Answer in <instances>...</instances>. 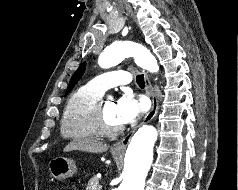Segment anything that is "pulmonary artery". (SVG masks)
<instances>
[{
	"label": "pulmonary artery",
	"instance_id": "pulmonary-artery-1",
	"mask_svg": "<svg viewBox=\"0 0 238 190\" xmlns=\"http://www.w3.org/2000/svg\"><path fill=\"white\" fill-rule=\"evenodd\" d=\"M131 81L130 74L124 70H116L96 76L87 83V86L101 94L106 90L128 84Z\"/></svg>",
	"mask_w": 238,
	"mask_h": 190
}]
</instances>
